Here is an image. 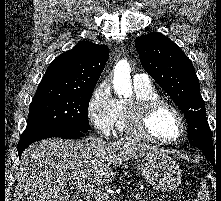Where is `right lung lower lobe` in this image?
I'll list each match as a JSON object with an SVG mask.
<instances>
[{
    "label": "right lung lower lobe",
    "instance_id": "98d812e1",
    "mask_svg": "<svg viewBox=\"0 0 221 201\" xmlns=\"http://www.w3.org/2000/svg\"><path fill=\"white\" fill-rule=\"evenodd\" d=\"M83 131L65 128V127H45L33 131H24L19 140L17 149L18 155L21 156L22 151L35 141L50 138V137H64V138H80L83 137Z\"/></svg>",
    "mask_w": 221,
    "mask_h": 201
}]
</instances>
